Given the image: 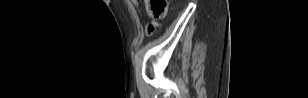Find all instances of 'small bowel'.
Segmentation results:
<instances>
[{
    "label": "small bowel",
    "instance_id": "small-bowel-1",
    "mask_svg": "<svg viewBox=\"0 0 308 98\" xmlns=\"http://www.w3.org/2000/svg\"><path fill=\"white\" fill-rule=\"evenodd\" d=\"M133 3H134V5L138 8V10L141 12V8H140V3H139V1H138V0H133ZM153 30H154V29H153ZM153 30H151V31L148 30V33H152Z\"/></svg>",
    "mask_w": 308,
    "mask_h": 98
}]
</instances>
